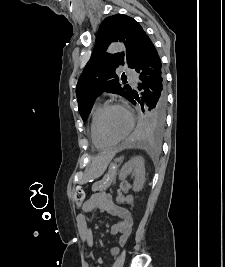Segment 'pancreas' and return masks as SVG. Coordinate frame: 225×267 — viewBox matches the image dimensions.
Returning <instances> with one entry per match:
<instances>
[{
  "label": "pancreas",
  "instance_id": "pancreas-1",
  "mask_svg": "<svg viewBox=\"0 0 225 267\" xmlns=\"http://www.w3.org/2000/svg\"><path fill=\"white\" fill-rule=\"evenodd\" d=\"M117 173V166L115 163L111 164L108 173L103 177L102 180L95 182L92 185V191H104L110 187L112 183H115Z\"/></svg>",
  "mask_w": 225,
  "mask_h": 267
}]
</instances>
